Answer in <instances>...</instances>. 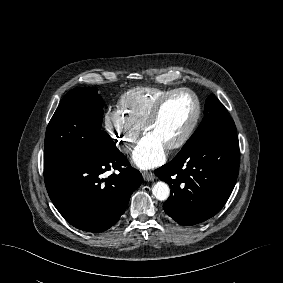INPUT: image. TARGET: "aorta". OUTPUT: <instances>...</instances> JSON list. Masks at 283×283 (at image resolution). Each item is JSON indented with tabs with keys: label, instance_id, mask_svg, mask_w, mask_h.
<instances>
[{
	"label": "aorta",
	"instance_id": "1",
	"mask_svg": "<svg viewBox=\"0 0 283 283\" xmlns=\"http://www.w3.org/2000/svg\"><path fill=\"white\" fill-rule=\"evenodd\" d=\"M152 193L157 200L165 201L170 195V188L165 182L159 181L152 187Z\"/></svg>",
	"mask_w": 283,
	"mask_h": 283
}]
</instances>
